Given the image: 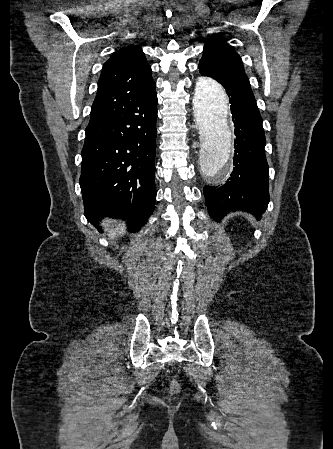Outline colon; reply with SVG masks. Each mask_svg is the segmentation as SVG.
Segmentation results:
<instances>
[{
	"label": "colon",
	"mask_w": 333,
	"mask_h": 449,
	"mask_svg": "<svg viewBox=\"0 0 333 449\" xmlns=\"http://www.w3.org/2000/svg\"><path fill=\"white\" fill-rule=\"evenodd\" d=\"M171 388H172V391H173V392H176V391L178 390V384H177L176 382H174V383L172 384Z\"/></svg>",
	"instance_id": "1"
}]
</instances>
